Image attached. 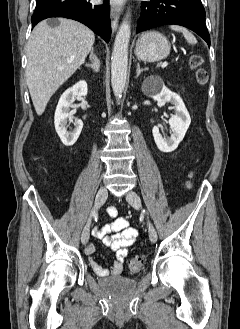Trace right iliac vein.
<instances>
[{
  "label": "right iliac vein",
  "mask_w": 240,
  "mask_h": 329,
  "mask_svg": "<svg viewBox=\"0 0 240 329\" xmlns=\"http://www.w3.org/2000/svg\"><path fill=\"white\" fill-rule=\"evenodd\" d=\"M107 196H108L107 189L105 187H101L98 190L96 199H95L94 207L96 210L99 209L105 203ZM90 224H91V220L89 219L81 234V241L84 245L87 244V242L89 241V238H90Z\"/></svg>",
  "instance_id": "63e3f726"
}]
</instances>
